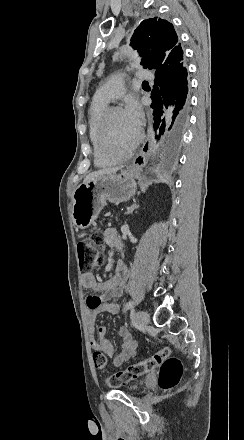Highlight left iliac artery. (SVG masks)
Returning <instances> with one entry per match:
<instances>
[{"label": "left iliac artery", "instance_id": "left-iliac-artery-1", "mask_svg": "<svg viewBox=\"0 0 244 440\" xmlns=\"http://www.w3.org/2000/svg\"><path fill=\"white\" fill-rule=\"evenodd\" d=\"M134 308V302L133 301H129L126 303L125 305V310H129V309H133Z\"/></svg>", "mask_w": 244, "mask_h": 440}]
</instances>
